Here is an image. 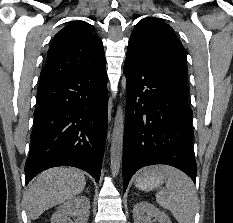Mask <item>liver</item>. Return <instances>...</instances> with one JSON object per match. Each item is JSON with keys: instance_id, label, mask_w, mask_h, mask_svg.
I'll list each match as a JSON object with an SVG mask.
<instances>
[{"instance_id": "6515ba94", "label": "liver", "mask_w": 233, "mask_h": 223, "mask_svg": "<svg viewBox=\"0 0 233 223\" xmlns=\"http://www.w3.org/2000/svg\"><path fill=\"white\" fill-rule=\"evenodd\" d=\"M84 171L76 167H51L37 175L23 199L31 219H37L45 209L63 203L83 191Z\"/></svg>"}]
</instances>
